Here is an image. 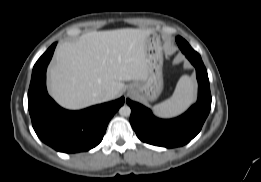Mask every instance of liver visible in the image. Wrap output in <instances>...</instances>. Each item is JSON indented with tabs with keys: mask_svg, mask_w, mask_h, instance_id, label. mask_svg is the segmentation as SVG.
<instances>
[{
	"mask_svg": "<svg viewBox=\"0 0 261 182\" xmlns=\"http://www.w3.org/2000/svg\"><path fill=\"white\" fill-rule=\"evenodd\" d=\"M152 29L92 31L60 44L49 69V91L61 106L82 109L114 99L124 81L148 76L145 54ZM111 97L106 99L105 93Z\"/></svg>",
	"mask_w": 261,
	"mask_h": 182,
	"instance_id": "6515ba94",
	"label": "liver"
}]
</instances>
